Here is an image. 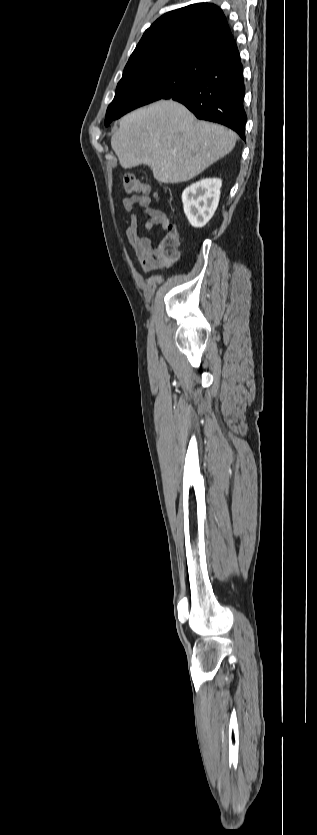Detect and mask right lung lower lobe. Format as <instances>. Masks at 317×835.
Here are the masks:
<instances>
[{
	"label": "right lung lower lobe",
	"mask_w": 317,
	"mask_h": 835,
	"mask_svg": "<svg viewBox=\"0 0 317 835\" xmlns=\"http://www.w3.org/2000/svg\"><path fill=\"white\" fill-rule=\"evenodd\" d=\"M194 57L204 70L205 77L175 90L163 99L178 101L198 119L225 125L245 140V86L236 42L233 40Z\"/></svg>",
	"instance_id": "98d812e1"
}]
</instances>
